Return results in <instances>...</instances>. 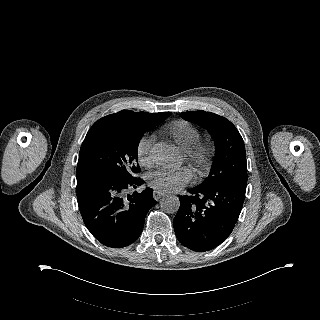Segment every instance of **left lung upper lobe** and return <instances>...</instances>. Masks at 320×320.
Wrapping results in <instances>:
<instances>
[{
  "label": "left lung upper lobe",
  "mask_w": 320,
  "mask_h": 320,
  "mask_svg": "<svg viewBox=\"0 0 320 320\" xmlns=\"http://www.w3.org/2000/svg\"><path fill=\"white\" fill-rule=\"evenodd\" d=\"M181 116L208 130L215 143L210 173L198 186L209 188L229 179L247 182L245 146L236 127L224 117L210 112H184Z\"/></svg>",
  "instance_id": "1"
}]
</instances>
